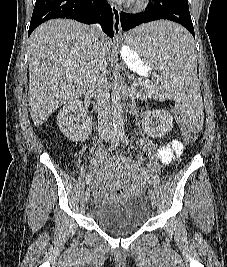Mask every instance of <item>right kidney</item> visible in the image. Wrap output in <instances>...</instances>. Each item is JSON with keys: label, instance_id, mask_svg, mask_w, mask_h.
Segmentation results:
<instances>
[{"label": "right kidney", "instance_id": "ca27d5eb", "mask_svg": "<svg viewBox=\"0 0 227 267\" xmlns=\"http://www.w3.org/2000/svg\"><path fill=\"white\" fill-rule=\"evenodd\" d=\"M84 116L83 103L80 100L69 101L59 111L57 124L61 132L74 142L85 141L92 131V122L89 118L80 122Z\"/></svg>", "mask_w": 227, "mask_h": 267}]
</instances>
